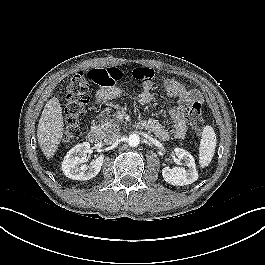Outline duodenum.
<instances>
[{
    "instance_id": "410a0bca",
    "label": "duodenum",
    "mask_w": 265,
    "mask_h": 265,
    "mask_svg": "<svg viewBox=\"0 0 265 265\" xmlns=\"http://www.w3.org/2000/svg\"><path fill=\"white\" fill-rule=\"evenodd\" d=\"M100 138V131L96 128L89 130V132L87 133V139L91 143H98L100 141Z\"/></svg>"
}]
</instances>
